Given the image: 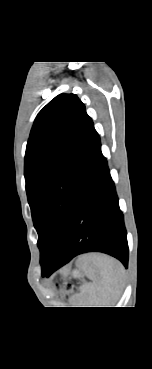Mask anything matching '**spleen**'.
<instances>
[{"label":"spleen","mask_w":152,"mask_h":369,"mask_svg":"<svg viewBox=\"0 0 152 369\" xmlns=\"http://www.w3.org/2000/svg\"><path fill=\"white\" fill-rule=\"evenodd\" d=\"M85 270L92 283L84 284L78 296L79 307H112L118 300L124 269L115 259L103 254H91Z\"/></svg>","instance_id":"obj_1"}]
</instances>
